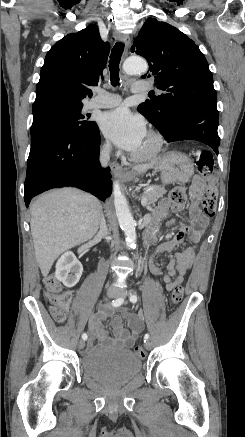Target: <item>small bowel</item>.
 Wrapping results in <instances>:
<instances>
[{
	"mask_svg": "<svg viewBox=\"0 0 245 437\" xmlns=\"http://www.w3.org/2000/svg\"><path fill=\"white\" fill-rule=\"evenodd\" d=\"M204 189L203 180L196 178L191 186L190 200L187 206L190 225L180 223L176 234L160 244L152 253L150 267L154 274H161V269L155 264L156 258L163 253L170 254L167 270L163 277L167 291H171L182 284L194 261L197 245L205 233L208 218L198 206V200L203 195ZM184 210L185 206L183 204H176L169 200L162 201L158 208L156 220L149 231L154 236L160 220L166 219L171 212L180 213ZM184 240H188L190 245L182 252L173 254L174 249ZM107 317L108 314L105 311H98L92 316L89 322L91 341L88 344V349L93 350L95 348V340L103 345H118L123 348L132 347L143 329V314L140 312L138 314L116 315L112 321L115 338H112L103 327V322ZM124 320L130 327L131 332L123 327Z\"/></svg>",
	"mask_w": 245,
	"mask_h": 437,
	"instance_id": "c3829d8e",
	"label": "small bowel"
}]
</instances>
